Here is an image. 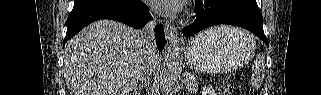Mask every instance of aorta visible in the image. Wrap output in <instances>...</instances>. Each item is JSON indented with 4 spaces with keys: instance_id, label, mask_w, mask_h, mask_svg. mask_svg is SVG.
I'll return each mask as SVG.
<instances>
[{
    "instance_id": "1",
    "label": "aorta",
    "mask_w": 321,
    "mask_h": 95,
    "mask_svg": "<svg viewBox=\"0 0 321 95\" xmlns=\"http://www.w3.org/2000/svg\"><path fill=\"white\" fill-rule=\"evenodd\" d=\"M180 74V46L179 39H175L168 46L164 54L160 71V90L162 95H172Z\"/></svg>"
}]
</instances>
